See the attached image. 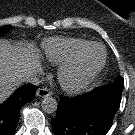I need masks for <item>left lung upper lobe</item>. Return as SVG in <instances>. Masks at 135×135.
I'll list each match as a JSON object with an SVG mask.
<instances>
[{"mask_svg": "<svg viewBox=\"0 0 135 135\" xmlns=\"http://www.w3.org/2000/svg\"><path fill=\"white\" fill-rule=\"evenodd\" d=\"M114 83H117V84H119V85H123V84H124V80H123L122 77L118 76V77L116 78V80H115Z\"/></svg>", "mask_w": 135, "mask_h": 135, "instance_id": "left-lung-upper-lobe-1", "label": "left lung upper lobe"}]
</instances>
